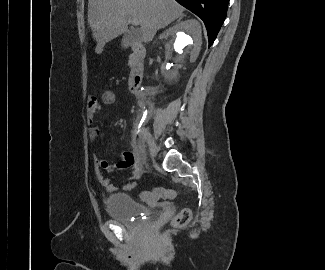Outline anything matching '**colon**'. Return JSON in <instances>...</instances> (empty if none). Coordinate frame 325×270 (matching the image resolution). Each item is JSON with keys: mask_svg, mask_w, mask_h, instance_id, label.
I'll use <instances>...</instances> for the list:
<instances>
[{"mask_svg": "<svg viewBox=\"0 0 325 270\" xmlns=\"http://www.w3.org/2000/svg\"><path fill=\"white\" fill-rule=\"evenodd\" d=\"M101 101L104 105H113L116 101V95L112 90H104L101 94ZM175 196V192L172 189L157 187L149 191H144L141 198L148 203H155L160 199H172ZM191 219V210L189 208H183L173 218L172 225L174 227L185 226Z\"/></svg>", "mask_w": 325, "mask_h": 270, "instance_id": "5ec220e1", "label": "colon"}]
</instances>
